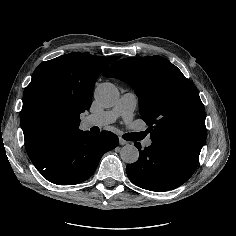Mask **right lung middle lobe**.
<instances>
[{"label":"right lung middle lobe","instance_id":"obj_1","mask_svg":"<svg viewBox=\"0 0 236 236\" xmlns=\"http://www.w3.org/2000/svg\"><path fill=\"white\" fill-rule=\"evenodd\" d=\"M32 123L42 132L52 133L62 124V114L50 103H40L32 111Z\"/></svg>","mask_w":236,"mask_h":236}]
</instances>
